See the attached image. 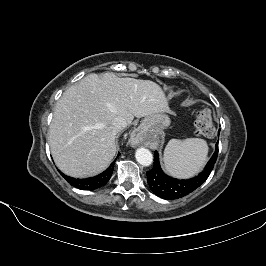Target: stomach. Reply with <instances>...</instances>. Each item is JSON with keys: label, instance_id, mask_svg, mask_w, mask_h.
<instances>
[{"label": "stomach", "instance_id": "1", "mask_svg": "<svg viewBox=\"0 0 266 266\" xmlns=\"http://www.w3.org/2000/svg\"><path fill=\"white\" fill-rule=\"evenodd\" d=\"M170 125V118L166 113H157L144 118L140 125V130L144 135L168 127Z\"/></svg>", "mask_w": 266, "mask_h": 266}]
</instances>
